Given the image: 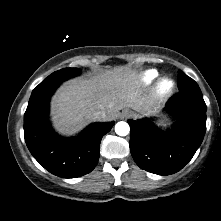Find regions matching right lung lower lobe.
<instances>
[{"label":"right lung lower lobe","mask_w":221,"mask_h":221,"mask_svg":"<svg viewBox=\"0 0 221 221\" xmlns=\"http://www.w3.org/2000/svg\"><path fill=\"white\" fill-rule=\"evenodd\" d=\"M58 86L32 92L24 115V137L29 151L46 170L58 177L76 178L95 168L101 139L114 123H93L76 137H60L48 117L49 101Z\"/></svg>","instance_id":"obj_1"}]
</instances>
